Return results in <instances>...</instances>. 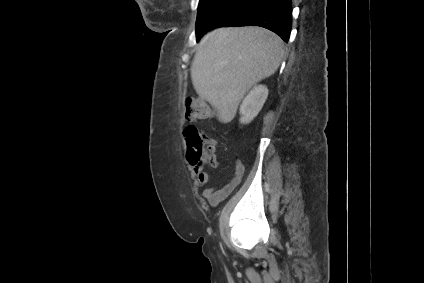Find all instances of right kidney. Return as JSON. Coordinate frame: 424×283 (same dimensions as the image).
Here are the masks:
<instances>
[{
    "label": "right kidney",
    "instance_id": "1",
    "mask_svg": "<svg viewBox=\"0 0 424 283\" xmlns=\"http://www.w3.org/2000/svg\"><path fill=\"white\" fill-rule=\"evenodd\" d=\"M268 96V89L264 85L255 86L243 99L240 106L241 119L243 124L250 123L262 109Z\"/></svg>",
    "mask_w": 424,
    "mask_h": 283
}]
</instances>
